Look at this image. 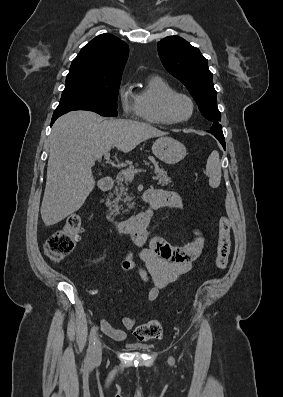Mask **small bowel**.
I'll return each instance as SVG.
<instances>
[{
	"mask_svg": "<svg viewBox=\"0 0 283 397\" xmlns=\"http://www.w3.org/2000/svg\"><path fill=\"white\" fill-rule=\"evenodd\" d=\"M147 193L157 208L168 207L179 210L184 208L181 197L174 191L152 188L147 190ZM131 236L141 248L138 254L141 264H138L135 256L130 254L121 262V269L137 270L141 279L145 283H150L146 293L149 303L157 300L161 289L192 269L204 246V238L197 229L194 231V239L184 246H174L162 238H153L147 242L146 230ZM92 293L96 294L97 291L93 290ZM139 319V315L123 318V329L115 328L107 320L102 319L100 328L112 339L122 341L126 338V331L132 330Z\"/></svg>",
	"mask_w": 283,
	"mask_h": 397,
	"instance_id": "obj_1",
	"label": "small bowel"
}]
</instances>
